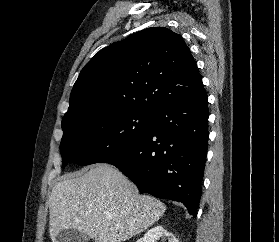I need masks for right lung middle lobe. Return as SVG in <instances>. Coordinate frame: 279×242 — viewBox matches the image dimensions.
Masks as SVG:
<instances>
[{"mask_svg": "<svg viewBox=\"0 0 279 242\" xmlns=\"http://www.w3.org/2000/svg\"><path fill=\"white\" fill-rule=\"evenodd\" d=\"M153 112L121 110L92 119L72 118L62 124L63 167L90 165L116 154L144 138L151 130Z\"/></svg>", "mask_w": 279, "mask_h": 242, "instance_id": "right-lung-middle-lobe-1", "label": "right lung middle lobe"}]
</instances>
